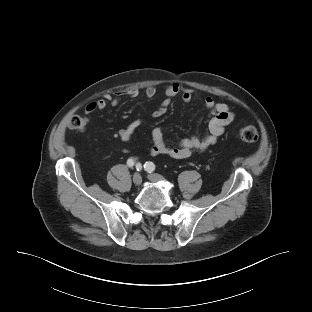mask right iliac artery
<instances>
[{"instance_id": "1", "label": "right iliac artery", "mask_w": 312, "mask_h": 312, "mask_svg": "<svg viewBox=\"0 0 312 312\" xmlns=\"http://www.w3.org/2000/svg\"><path fill=\"white\" fill-rule=\"evenodd\" d=\"M134 164H135V160H134V159L130 158V159L127 160V165H128L129 167H133ZM136 169H137L138 171H140V170L142 169V166H141L140 163H137V164H136Z\"/></svg>"}]
</instances>
